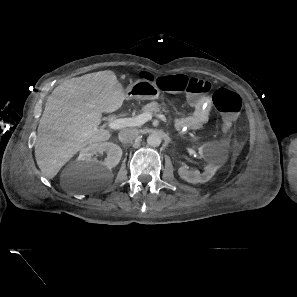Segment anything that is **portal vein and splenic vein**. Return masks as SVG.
Returning a JSON list of instances; mask_svg holds the SVG:
<instances>
[{
	"instance_id": "18ae733b",
	"label": "portal vein and splenic vein",
	"mask_w": 297,
	"mask_h": 297,
	"mask_svg": "<svg viewBox=\"0 0 297 297\" xmlns=\"http://www.w3.org/2000/svg\"><path fill=\"white\" fill-rule=\"evenodd\" d=\"M157 117L160 118L165 123L167 122V119L163 114H158ZM151 119H152V114L143 113L132 118H119V119L112 120L108 123V127L113 130H118L125 127H130V126H141Z\"/></svg>"
}]
</instances>
